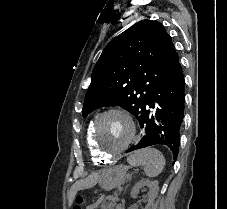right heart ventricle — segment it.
I'll use <instances>...</instances> for the list:
<instances>
[{
    "label": "right heart ventricle",
    "instance_id": "right-heart-ventricle-1",
    "mask_svg": "<svg viewBox=\"0 0 227 209\" xmlns=\"http://www.w3.org/2000/svg\"><path fill=\"white\" fill-rule=\"evenodd\" d=\"M95 119H92L85 130V141H86V145L88 148V151L90 153L91 159L93 160V162L95 163H107L110 161V158H105L102 157L101 155H99V153L97 152V150L95 149L93 142H92V137H91V132H92V126L94 123Z\"/></svg>",
    "mask_w": 227,
    "mask_h": 209
}]
</instances>
